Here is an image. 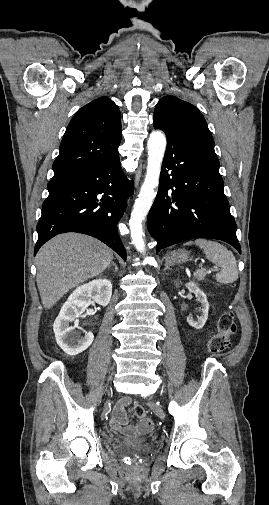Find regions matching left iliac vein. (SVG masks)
<instances>
[{
  "instance_id": "4c4485c4",
  "label": "left iliac vein",
  "mask_w": 269,
  "mask_h": 505,
  "mask_svg": "<svg viewBox=\"0 0 269 505\" xmlns=\"http://www.w3.org/2000/svg\"><path fill=\"white\" fill-rule=\"evenodd\" d=\"M147 405H148L149 410L151 412H155L161 419H164L165 414H164L163 410L160 407H158V405L156 403H153L150 401V402H148Z\"/></svg>"
}]
</instances>
